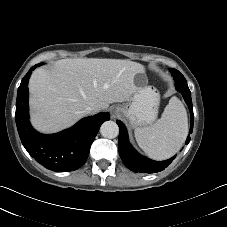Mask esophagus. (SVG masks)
Instances as JSON below:
<instances>
[{
    "label": "esophagus",
    "mask_w": 227,
    "mask_h": 227,
    "mask_svg": "<svg viewBox=\"0 0 227 227\" xmlns=\"http://www.w3.org/2000/svg\"><path fill=\"white\" fill-rule=\"evenodd\" d=\"M111 113H112V117H114L115 115L118 114V109L114 108Z\"/></svg>",
    "instance_id": "34e87169"
}]
</instances>
